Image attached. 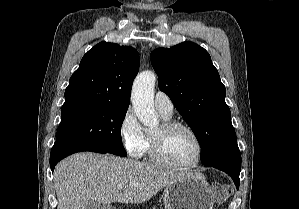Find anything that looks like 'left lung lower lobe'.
<instances>
[{
    "label": "left lung lower lobe",
    "instance_id": "obj_1",
    "mask_svg": "<svg viewBox=\"0 0 299 209\" xmlns=\"http://www.w3.org/2000/svg\"><path fill=\"white\" fill-rule=\"evenodd\" d=\"M206 167H214L226 172L233 179L239 189L241 155L236 136L227 139L204 163Z\"/></svg>",
    "mask_w": 299,
    "mask_h": 209
}]
</instances>
